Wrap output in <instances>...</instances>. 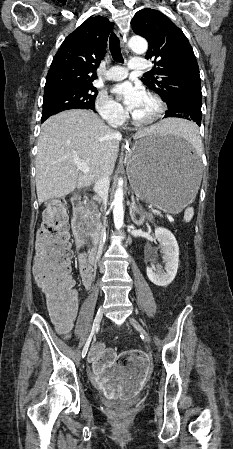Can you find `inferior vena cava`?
Instances as JSON below:
<instances>
[{"mask_svg":"<svg viewBox=\"0 0 233 449\" xmlns=\"http://www.w3.org/2000/svg\"><path fill=\"white\" fill-rule=\"evenodd\" d=\"M115 135L121 136V134L119 132H115ZM109 184H110V179H109L108 175L101 176L94 184L93 190L97 194L99 201L102 202L103 205L106 204V200L108 197ZM104 231H105V227H104V225H101L100 229H99V235H98L99 248H102V236H103Z\"/></svg>","mask_w":233,"mask_h":449,"instance_id":"obj_1","label":"inferior vena cava"}]
</instances>
